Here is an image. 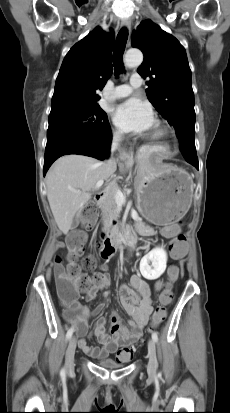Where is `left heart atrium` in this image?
I'll return each instance as SVG.
<instances>
[{"instance_id":"obj_1","label":"left heart atrium","mask_w":230,"mask_h":413,"mask_svg":"<svg viewBox=\"0 0 230 413\" xmlns=\"http://www.w3.org/2000/svg\"><path fill=\"white\" fill-rule=\"evenodd\" d=\"M113 119L115 124L127 133H146L154 125L150 106L139 99H129L118 105Z\"/></svg>"}]
</instances>
